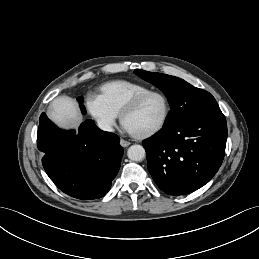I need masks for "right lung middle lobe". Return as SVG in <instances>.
<instances>
[{
  "label": "right lung middle lobe",
  "instance_id": "obj_1",
  "mask_svg": "<svg viewBox=\"0 0 259 259\" xmlns=\"http://www.w3.org/2000/svg\"><path fill=\"white\" fill-rule=\"evenodd\" d=\"M78 101L80 103V107H81L82 112L85 113V107L82 105V102H83L82 98L81 97L78 98Z\"/></svg>",
  "mask_w": 259,
  "mask_h": 259
}]
</instances>
